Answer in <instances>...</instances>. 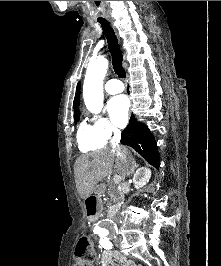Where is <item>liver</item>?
I'll return each mask as SVG.
<instances>
[{"mask_svg":"<svg viewBox=\"0 0 221 266\" xmlns=\"http://www.w3.org/2000/svg\"><path fill=\"white\" fill-rule=\"evenodd\" d=\"M127 152L131 155L128 150ZM113 167L116 168L121 180H124L125 165L112 148H104L78 157L74 166V177L80 197L86 200L88 194L95 190L97 183L112 174Z\"/></svg>","mask_w":221,"mask_h":266,"instance_id":"6515ba94","label":"liver"}]
</instances>
